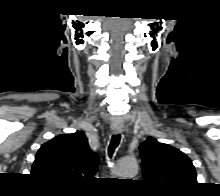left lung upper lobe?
Instances as JSON below:
<instances>
[{"mask_svg": "<svg viewBox=\"0 0 220 196\" xmlns=\"http://www.w3.org/2000/svg\"><path fill=\"white\" fill-rule=\"evenodd\" d=\"M140 154L145 181L161 193H182L196 185L195 168L179 149L148 137Z\"/></svg>", "mask_w": 220, "mask_h": 196, "instance_id": "left-lung-upper-lobe-1", "label": "left lung upper lobe"}]
</instances>
